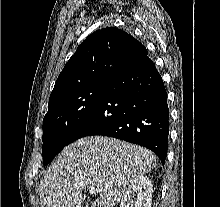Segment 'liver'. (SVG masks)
Instances as JSON below:
<instances>
[{"label":"liver","mask_w":220,"mask_h":207,"mask_svg":"<svg viewBox=\"0 0 220 207\" xmlns=\"http://www.w3.org/2000/svg\"><path fill=\"white\" fill-rule=\"evenodd\" d=\"M156 156L146 148L104 136L65 147L40 180L41 207H81L86 187L99 189L92 207H114L126 187L150 172Z\"/></svg>","instance_id":"6515ba94"}]
</instances>
